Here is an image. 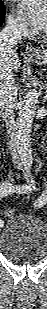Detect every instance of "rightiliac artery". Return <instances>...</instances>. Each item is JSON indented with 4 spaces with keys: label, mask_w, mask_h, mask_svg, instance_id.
<instances>
[{
    "label": "right iliac artery",
    "mask_w": 47,
    "mask_h": 309,
    "mask_svg": "<svg viewBox=\"0 0 47 309\" xmlns=\"http://www.w3.org/2000/svg\"><path fill=\"white\" fill-rule=\"evenodd\" d=\"M33 189H34V180H30L28 181V183L23 184V185H13V184L7 183L1 186L0 195L5 197L12 193H28L32 191Z\"/></svg>",
    "instance_id": "right-iliac-artery-1"
}]
</instances>
